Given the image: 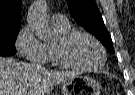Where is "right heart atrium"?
<instances>
[{
	"mask_svg": "<svg viewBox=\"0 0 135 95\" xmlns=\"http://www.w3.org/2000/svg\"><path fill=\"white\" fill-rule=\"evenodd\" d=\"M16 48L27 60L43 63L47 60V49L31 31L30 27H23L16 38Z\"/></svg>",
	"mask_w": 135,
	"mask_h": 95,
	"instance_id": "d8ad5b80",
	"label": "right heart atrium"
}]
</instances>
